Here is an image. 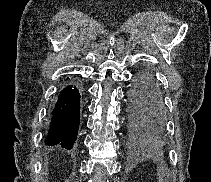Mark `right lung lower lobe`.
Instances as JSON below:
<instances>
[{
    "mask_svg": "<svg viewBox=\"0 0 211 182\" xmlns=\"http://www.w3.org/2000/svg\"><path fill=\"white\" fill-rule=\"evenodd\" d=\"M79 124L80 94L75 86L69 85L58 96L45 144H61L62 147L71 149L77 138Z\"/></svg>",
    "mask_w": 211,
    "mask_h": 182,
    "instance_id": "1",
    "label": "right lung lower lobe"
}]
</instances>
